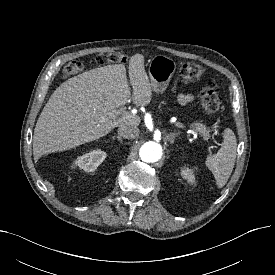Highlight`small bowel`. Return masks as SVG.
Instances as JSON below:
<instances>
[{
	"mask_svg": "<svg viewBox=\"0 0 275 275\" xmlns=\"http://www.w3.org/2000/svg\"><path fill=\"white\" fill-rule=\"evenodd\" d=\"M194 99L193 95L187 94L179 97L180 104H186Z\"/></svg>",
	"mask_w": 275,
	"mask_h": 275,
	"instance_id": "1",
	"label": "small bowel"
}]
</instances>
